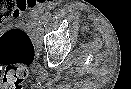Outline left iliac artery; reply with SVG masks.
Here are the masks:
<instances>
[{
    "instance_id": "obj_1",
    "label": "left iliac artery",
    "mask_w": 131,
    "mask_h": 89,
    "mask_svg": "<svg viewBox=\"0 0 131 89\" xmlns=\"http://www.w3.org/2000/svg\"><path fill=\"white\" fill-rule=\"evenodd\" d=\"M50 17H51V13L47 12L45 14V16H43V18L41 19V21H39L40 25L45 26L46 23L48 22V20L50 19Z\"/></svg>"
}]
</instances>
